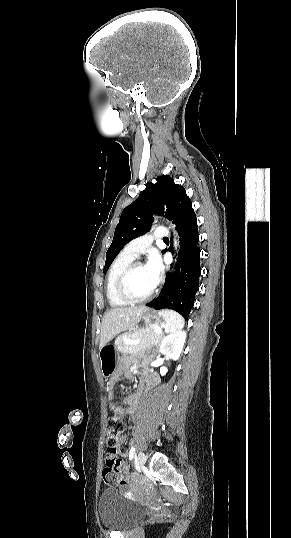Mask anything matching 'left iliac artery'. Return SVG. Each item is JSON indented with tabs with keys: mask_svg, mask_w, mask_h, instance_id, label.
<instances>
[{
	"mask_svg": "<svg viewBox=\"0 0 291 538\" xmlns=\"http://www.w3.org/2000/svg\"><path fill=\"white\" fill-rule=\"evenodd\" d=\"M134 455H135V448L134 446H132L129 452V459L132 460Z\"/></svg>",
	"mask_w": 291,
	"mask_h": 538,
	"instance_id": "obj_1",
	"label": "left iliac artery"
}]
</instances>
